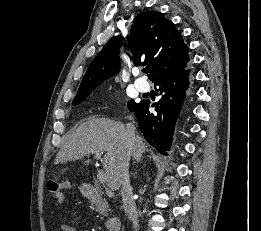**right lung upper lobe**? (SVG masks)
<instances>
[{
  "label": "right lung upper lobe",
  "mask_w": 261,
  "mask_h": 231,
  "mask_svg": "<svg viewBox=\"0 0 261 231\" xmlns=\"http://www.w3.org/2000/svg\"><path fill=\"white\" fill-rule=\"evenodd\" d=\"M129 41L134 65L148 63L152 66L149 76L152 82L188 66V47L182 35L160 12H143L136 16ZM121 44L122 38L117 36L103 47L87 69L77 95L92 92L104 80L117 74Z\"/></svg>",
  "instance_id": "1"
}]
</instances>
